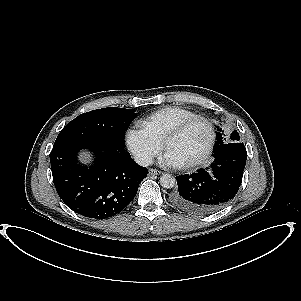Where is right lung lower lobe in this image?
Masks as SVG:
<instances>
[{
	"label": "right lung lower lobe",
	"instance_id": "obj_1",
	"mask_svg": "<svg viewBox=\"0 0 301 301\" xmlns=\"http://www.w3.org/2000/svg\"><path fill=\"white\" fill-rule=\"evenodd\" d=\"M84 148L95 156L90 167L76 159ZM50 162L60 198L74 212L93 219H107L125 209L148 173L124 148L101 140L54 144Z\"/></svg>",
	"mask_w": 301,
	"mask_h": 301
}]
</instances>
